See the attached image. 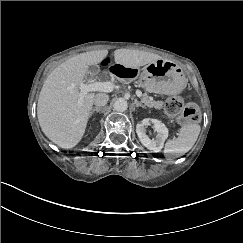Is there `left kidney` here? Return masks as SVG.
<instances>
[{
    "label": "left kidney",
    "mask_w": 243,
    "mask_h": 243,
    "mask_svg": "<svg viewBox=\"0 0 243 243\" xmlns=\"http://www.w3.org/2000/svg\"><path fill=\"white\" fill-rule=\"evenodd\" d=\"M153 124L154 130L157 132L155 138L150 139L146 134V126ZM136 133L140 142L149 150L159 152L164 146L165 140L168 138V128L157 119H143L136 125Z\"/></svg>",
    "instance_id": "1"
}]
</instances>
